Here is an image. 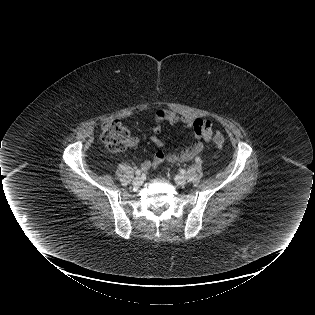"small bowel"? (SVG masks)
<instances>
[{"mask_svg": "<svg viewBox=\"0 0 315 315\" xmlns=\"http://www.w3.org/2000/svg\"><path fill=\"white\" fill-rule=\"evenodd\" d=\"M151 119L153 123V133L149 139L151 143L157 147V151L151 160H147L141 164V169L143 171L156 167L165 161L173 163L191 160L203 150V142L210 141L212 137V123L209 120L194 118L188 115H178L168 109H160L153 112L151 114ZM163 123L184 125L186 128L193 131L197 141L180 152H167L163 140L159 137ZM138 144V137H129L128 145L130 147H135Z\"/></svg>", "mask_w": 315, "mask_h": 315, "instance_id": "1", "label": "small bowel"}]
</instances>
